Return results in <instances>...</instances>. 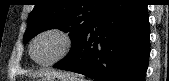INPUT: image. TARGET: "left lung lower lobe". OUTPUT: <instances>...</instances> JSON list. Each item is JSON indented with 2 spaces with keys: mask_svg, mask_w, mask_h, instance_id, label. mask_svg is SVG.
<instances>
[{
  "mask_svg": "<svg viewBox=\"0 0 169 81\" xmlns=\"http://www.w3.org/2000/svg\"><path fill=\"white\" fill-rule=\"evenodd\" d=\"M150 55L143 0H110L73 54L54 67L98 81H144Z\"/></svg>",
  "mask_w": 169,
  "mask_h": 81,
  "instance_id": "0a47b994",
  "label": "left lung lower lobe"
}]
</instances>
